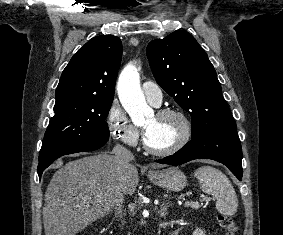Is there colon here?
Returning a JSON list of instances; mask_svg holds the SVG:
<instances>
[{"label": "colon", "mask_w": 283, "mask_h": 235, "mask_svg": "<svg viewBox=\"0 0 283 235\" xmlns=\"http://www.w3.org/2000/svg\"><path fill=\"white\" fill-rule=\"evenodd\" d=\"M217 220L219 225L225 230V235H236L237 227L231 216L219 214Z\"/></svg>", "instance_id": "5ec220e1"}]
</instances>
